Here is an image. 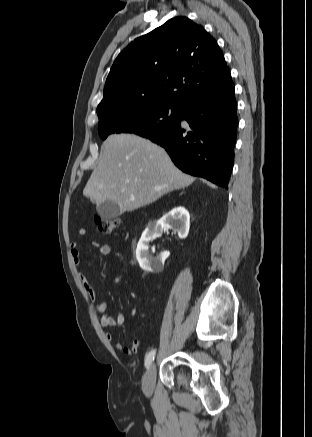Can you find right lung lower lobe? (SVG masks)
Returning <instances> with one entry per match:
<instances>
[{
    "instance_id": "98d812e1",
    "label": "right lung lower lobe",
    "mask_w": 312,
    "mask_h": 437,
    "mask_svg": "<svg viewBox=\"0 0 312 437\" xmlns=\"http://www.w3.org/2000/svg\"><path fill=\"white\" fill-rule=\"evenodd\" d=\"M234 91L230 76L218 89L184 105L175 125L147 138L164 147L183 172L227 189L238 126Z\"/></svg>"
}]
</instances>
